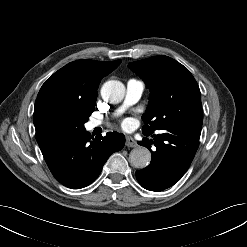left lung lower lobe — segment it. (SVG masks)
Wrapping results in <instances>:
<instances>
[{
    "mask_svg": "<svg viewBox=\"0 0 247 247\" xmlns=\"http://www.w3.org/2000/svg\"><path fill=\"white\" fill-rule=\"evenodd\" d=\"M200 134L201 127L181 122L164 127L159 134L152 135L151 141L147 138L139 141L152 154L151 163L136 171L140 185L150 191L173 186L188 170L198 149ZM151 144L156 147L154 151Z\"/></svg>",
    "mask_w": 247,
    "mask_h": 247,
    "instance_id": "obj_1",
    "label": "left lung lower lobe"
}]
</instances>
